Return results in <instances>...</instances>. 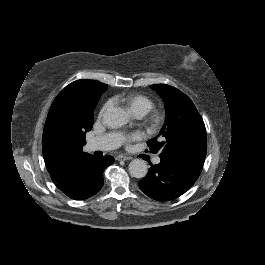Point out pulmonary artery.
Segmentation results:
<instances>
[{
    "mask_svg": "<svg viewBox=\"0 0 265 265\" xmlns=\"http://www.w3.org/2000/svg\"><path fill=\"white\" fill-rule=\"evenodd\" d=\"M141 117V116H139ZM125 141V136L121 132H109L102 136L96 137L90 141L89 150L90 151H110L118 148ZM153 162L158 164L160 162V157L156 156Z\"/></svg>",
    "mask_w": 265,
    "mask_h": 265,
    "instance_id": "pulmonary-artery-1",
    "label": "pulmonary artery"
}]
</instances>
